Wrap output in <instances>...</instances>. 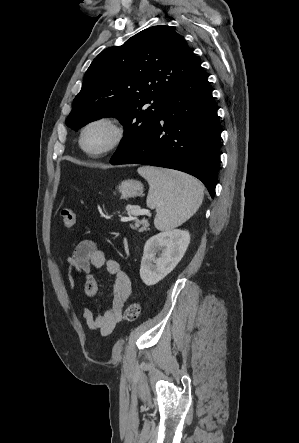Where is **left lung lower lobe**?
<instances>
[{"label": "left lung lower lobe", "mask_w": 299, "mask_h": 443, "mask_svg": "<svg viewBox=\"0 0 299 443\" xmlns=\"http://www.w3.org/2000/svg\"><path fill=\"white\" fill-rule=\"evenodd\" d=\"M220 125L203 68L198 65L163 105L154 125L112 165L171 168L201 180L214 197L219 166Z\"/></svg>", "instance_id": "1"}]
</instances>
